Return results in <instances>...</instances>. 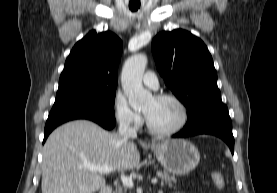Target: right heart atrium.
<instances>
[{
  "label": "right heart atrium",
  "mask_w": 277,
  "mask_h": 193,
  "mask_svg": "<svg viewBox=\"0 0 277 193\" xmlns=\"http://www.w3.org/2000/svg\"><path fill=\"white\" fill-rule=\"evenodd\" d=\"M114 115L119 124L136 128L142 124L141 114L133 109L122 93H117L113 102Z\"/></svg>",
  "instance_id": "obj_1"
}]
</instances>
